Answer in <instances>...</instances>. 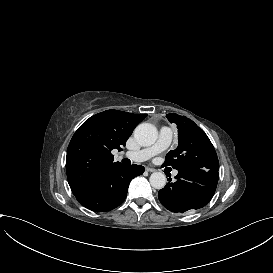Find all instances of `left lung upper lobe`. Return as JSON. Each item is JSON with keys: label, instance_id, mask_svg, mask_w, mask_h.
<instances>
[{"label": "left lung upper lobe", "instance_id": "5c2ea615", "mask_svg": "<svg viewBox=\"0 0 273 273\" xmlns=\"http://www.w3.org/2000/svg\"><path fill=\"white\" fill-rule=\"evenodd\" d=\"M171 123L178 128L179 145L165 158L164 166L174 169H204L219 171L216 151L206 133L191 119L178 114H167Z\"/></svg>", "mask_w": 273, "mask_h": 273}]
</instances>
